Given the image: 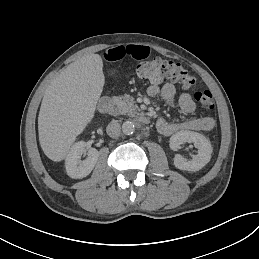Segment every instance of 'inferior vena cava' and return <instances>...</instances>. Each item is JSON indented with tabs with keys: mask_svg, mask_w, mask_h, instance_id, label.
Instances as JSON below:
<instances>
[{
	"mask_svg": "<svg viewBox=\"0 0 259 259\" xmlns=\"http://www.w3.org/2000/svg\"><path fill=\"white\" fill-rule=\"evenodd\" d=\"M107 134L112 138H117L121 132V126L117 121H112L106 128Z\"/></svg>",
	"mask_w": 259,
	"mask_h": 259,
	"instance_id": "1",
	"label": "inferior vena cava"
}]
</instances>
